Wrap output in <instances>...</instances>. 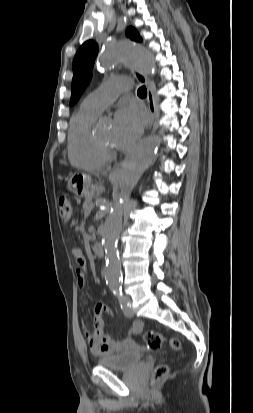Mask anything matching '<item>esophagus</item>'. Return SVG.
Wrapping results in <instances>:
<instances>
[{
	"label": "esophagus",
	"mask_w": 253,
	"mask_h": 413,
	"mask_svg": "<svg viewBox=\"0 0 253 413\" xmlns=\"http://www.w3.org/2000/svg\"><path fill=\"white\" fill-rule=\"evenodd\" d=\"M132 74L139 83L144 84L147 87V103H148V109H149V122L147 125V130H150L154 123L155 115H156V102H155L153 90L150 86L148 78L143 73H141L138 70H132ZM119 173H120V167L119 166L115 167L111 171L110 177L118 178Z\"/></svg>",
	"instance_id": "1"
}]
</instances>
